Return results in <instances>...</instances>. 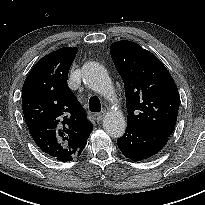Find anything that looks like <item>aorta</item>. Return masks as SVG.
<instances>
[{
  "mask_svg": "<svg viewBox=\"0 0 205 205\" xmlns=\"http://www.w3.org/2000/svg\"><path fill=\"white\" fill-rule=\"evenodd\" d=\"M82 78L90 89L106 98L114 95L111 79L106 69L99 63L87 62L82 68ZM103 127L111 137H121L126 129V121L123 114L117 110L109 111L103 119Z\"/></svg>",
  "mask_w": 205,
  "mask_h": 205,
  "instance_id": "1",
  "label": "aorta"
}]
</instances>
